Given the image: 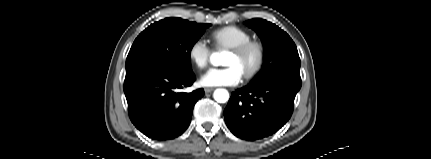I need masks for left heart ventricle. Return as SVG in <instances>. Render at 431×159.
Returning a JSON list of instances; mask_svg holds the SVG:
<instances>
[{"label": "left heart ventricle", "mask_w": 431, "mask_h": 159, "mask_svg": "<svg viewBox=\"0 0 431 159\" xmlns=\"http://www.w3.org/2000/svg\"><path fill=\"white\" fill-rule=\"evenodd\" d=\"M253 63H254L253 54H250L243 58H239L236 55H234L232 52H229L225 59L226 66H231V65L236 66L242 72V74L248 69H250Z\"/></svg>", "instance_id": "obj_1"}]
</instances>
